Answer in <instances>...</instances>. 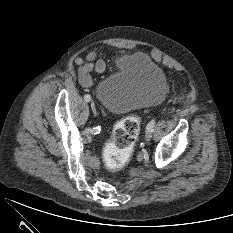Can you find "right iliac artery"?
I'll return each mask as SVG.
<instances>
[{"mask_svg":"<svg viewBox=\"0 0 233 233\" xmlns=\"http://www.w3.org/2000/svg\"><path fill=\"white\" fill-rule=\"evenodd\" d=\"M85 101L89 102L91 100V96L89 94H86L84 96Z\"/></svg>","mask_w":233,"mask_h":233,"instance_id":"82829eb1","label":"right iliac artery"}]
</instances>
